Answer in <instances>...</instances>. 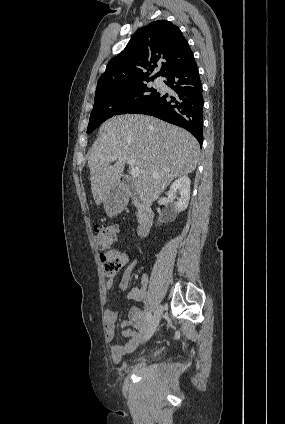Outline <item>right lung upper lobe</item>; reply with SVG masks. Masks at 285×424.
<instances>
[{
	"mask_svg": "<svg viewBox=\"0 0 285 424\" xmlns=\"http://www.w3.org/2000/svg\"><path fill=\"white\" fill-rule=\"evenodd\" d=\"M193 53L180 29L167 20L151 22L138 29L125 49L107 64L97 89L165 77L183 67ZM160 70L151 78L156 67Z\"/></svg>",
	"mask_w": 285,
	"mask_h": 424,
	"instance_id": "cb5924a9",
	"label": "right lung upper lobe"
}]
</instances>
